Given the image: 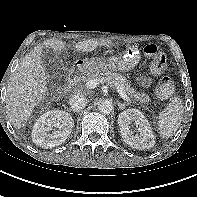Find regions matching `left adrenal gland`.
I'll use <instances>...</instances> for the list:
<instances>
[{
	"label": "left adrenal gland",
	"instance_id": "left-adrenal-gland-1",
	"mask_svg": "<svg viewBox=\"0 0 197 197\" xmlns=\"http://www.w3.org/2000/svg\"><path fill=\"white\" fill-rule=\"evenodd\" d=\"M129 105H131V104L118 102L119 109H124L126 106H129Z\"/></svg>",
	"mask_w": 197,
	"mask_h": 197
}]
</instances>
